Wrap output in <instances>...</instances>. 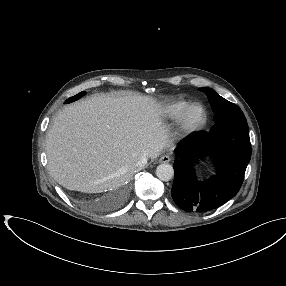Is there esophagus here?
I'll return each mask as SVG.
<instances>
[{"mask_svg": "<svg viewBox=\"0 0 286 286\" xmlns=\"http://www.w3.org/2000/svg\"><path fill=\"white\" fill-rule=\"evenodd\" d=\"M171 161V157L169 155H164L159 159L160 163H168Z\"/></svg>", "mask_w": 286, "mask_h": 286, "instance_id": "34e87169", "label": "esophagus"}]
</instances>
